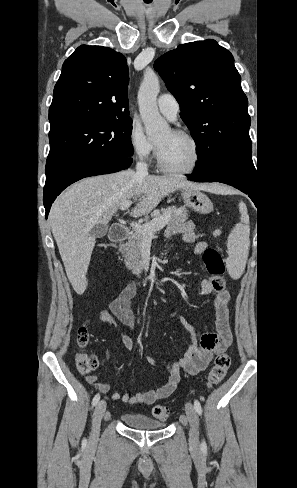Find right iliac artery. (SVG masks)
Returning a JSON list of instances; mask_svg holds the SVG:
<instances>
[{"label":"right iliac artery","mask_w":297,"mask_h":488,"mask_svg":"<svg viewBox=\"0 0 297 488\" xmlns=\"http://www.w3.org/2000/svg\"><path fill=\"white\" fill-rule=\"evenodd\" d=\"M99 399H100V395L96 394L92 400V405L95 406L98 403Z\"/></svg>","instance_id":"obj_1"}]
</instances>
